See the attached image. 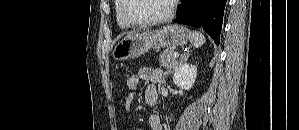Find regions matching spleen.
Segmentation results:
<instances>
[{"label":"spleen","mask_w":299,"mask_h":130,"mask_svg":"<svg viewBox=\"0 0 299 130\" xmlns=\"http://www.w3.org/2000/svg\"><path fill=\"white\" fill-rule=\"evenodd\" d=\"M189 40L195 48H199L206 41L204 35L199 31L190 32Z\"/></svg>","instance_id":"spleen-1"}]
</instances>
